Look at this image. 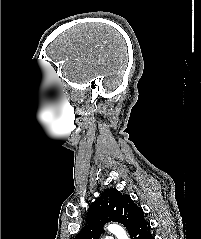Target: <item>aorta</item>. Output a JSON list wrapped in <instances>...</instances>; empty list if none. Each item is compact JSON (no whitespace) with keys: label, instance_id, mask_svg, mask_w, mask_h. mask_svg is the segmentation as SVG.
<instances>
[{"label":"aorta","instance_id":"obj_1","mask_svg":"<svg viewBox=\"0 0 201 239\" xmlns=\"http://www.w3.org/2000/svg\"><path fill=\"white\" fill-rule=\"evenodd\" d=\"M107 229L109 232L113 233L117 239H129L126 231L118 224H109Z\"/></svg>","mask_w":201,"mask_h":239}]
</instances>
